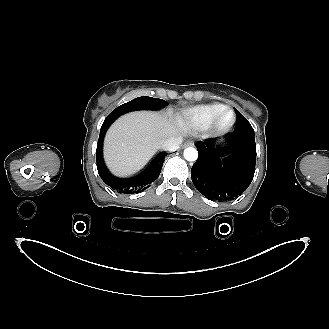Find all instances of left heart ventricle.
Here are the masks:
<instances>
[{"label": "left heart ventricle", "instance_id": "obj_1", "mask_svg": "<svg viewBox=\"0 0 329 329\" xmlns=\"http://www.w3.org/2000/svg\"><path fill=\"white\" fill-rule=\"evenodd\" d=\"M232 120V114L230 112L225 113L222 118H221V124L222 125H227L231 122Z\"/></svg>", "mask_w": 329, "mask_h": 329}]
</instances>
